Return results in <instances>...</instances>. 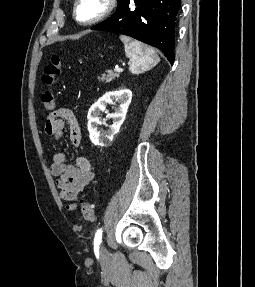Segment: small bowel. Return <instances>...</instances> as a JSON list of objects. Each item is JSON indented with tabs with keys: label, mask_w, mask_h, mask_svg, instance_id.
Returning a JSON list of instances; mask_svg holds the SVG:
<instances>
[{
	"label": "small bowel",
	"mask_w": 255,
	"mask_h": 287,
	"mask_svg": "<svg viewBox=\"0 0 255 287\" xmlns=\"http://www.w3.org/2000/svg\"><path fill=\"white\" fill-rule=\"evenodd\" d=\"M66 124L69 126L71 143L78 147L81 131L76 116L69 108H59L48 115L45 132L55 139H62ZM50 173L56 177L55 185L61 198L67 202L66 208L70 211L75 210L80 193L94 179L90 161L80 156L73 162H68L64 152H56L52 158Z\"/></svg>",
	"instance_id": "1"
}]
</instances>
